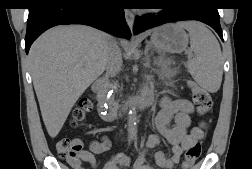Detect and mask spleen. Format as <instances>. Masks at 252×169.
Here are the masks:
<instances>
[{
	"mask_svg": "<svg viewBox=\"0 0 252 169\" xmlns=\"http://www.w3.org/2000/svg\"><path fill=\"white\" fill-rule=\"evenodd\" d=\"M190 36L192 58L187 62L188 72L203 89L215 93L223 75V58L219 42L205 25L198 22L178 23Z\"/></svg>",
	"mask_w": 252,
	"mask_h": 169,
	"instance_id": "spleen-1",
	"label": "spleen"
}]
</instances>
